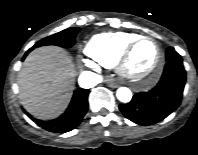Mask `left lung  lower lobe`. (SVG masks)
Here are the masks:
<instances>
[{
    "label": "left lung lower lobe",
    "mask_w": 198,
    "mask_h": 155,
    "mask_svg": "<svg viewBox=\"0 0 198 155\" xmlns=\"http://www.w3.org/2000/svg\"><path fill=\"white\" fill-rule=\"evenodd\" d=\"M186 73L182 61L168 62L157 87L136 93L119 109L126 118L139 125H153L175 111L181 103Z\"/></svg>",
    "instance_id": "1"
}]
</instances>
